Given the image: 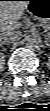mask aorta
<instances>
[{
  "mask_svg": "<svg viewBox=\"0 0 50 111\" xmlns=\"http://www.w3.org/2000/svg\"><path fill=\"white\" fill-rule=\"evenodd\" d=\"M26 46L31 50H39L42 47L41 37L38 35H30L26 39Z\"/></svg>",
  "mask_w": 50,
  "mask_h": 111,
  "instance_id": "1",
  "label": "aorta"
}]
</instances>
